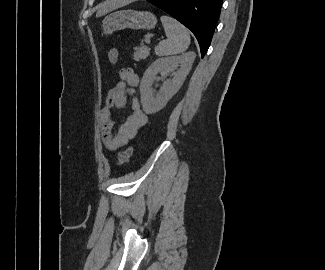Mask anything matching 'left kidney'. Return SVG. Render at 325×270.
I'll return each instance as SVG.
<instances>
[{
  "mask_svg": "<svg viewBox=\"0 0 325 270\" xmlns=\"http://www.w3.org/2000/svg\"><path fill=\"white\" fill-rule=\"evenodd\" d=\"M195 57L194 52H187L180 56L159 58L147 68L140 83L141 105L146 114H154L166 106L182 86ZM173 66H179L177 72L163 84L160 93L154 96L152 84L156 81L157 74L167 72Z\"/></svg>",
  "mask_w": 325,
  "mask_h": 270,
  "instance_id": "obj_1",
  "label": "left kidney"
}]
</instances>
